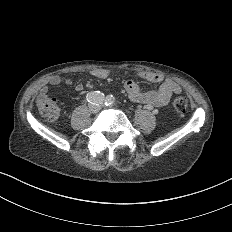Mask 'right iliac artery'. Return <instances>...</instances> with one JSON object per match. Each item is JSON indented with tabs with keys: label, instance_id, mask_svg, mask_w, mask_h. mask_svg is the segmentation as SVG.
Returning <instances> with one entry per match:
<instances>
[{
	"label": "right iliac artery",
	"instance_id": "right-iliac-artery-1",
	"mask_svg": "<svg viewBox=\"0 0 232 232\" xmlns=\"http://www.w3.org/2000/svg\"><path fill=\"white\" fill-rule=\"evenodd\" d=\"M86 100L93 105H100L104 102V94L100 91H91L86 94Z\"/></svg>",
	"mask_w": 232,
	"mask_h": 232
}]
</instances>
